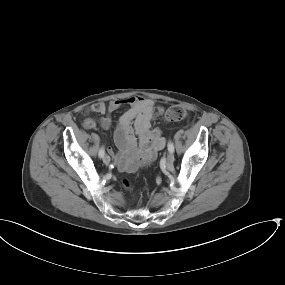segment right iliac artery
I'll use <instances>...</instances> for the list:
<instances>
[{
  "label": "right iliac artery",
  "instance_id": "1",
  "mask_svg": "<svg viewBox=\"0 0 285 285\" xmlns=\"http://www.w3.org/2000/svg\"><path fill=\"white\" fill-rule=\"evenodd\" d=\"M104 154H105V150L103 147H101V149L99 150V157L102 158L104 156Z\"/></svg>",
  "mask_w": 285,
  "mask_h": 285
}]
</instances>
